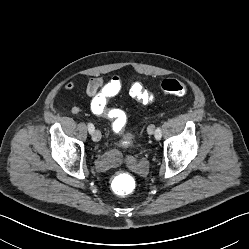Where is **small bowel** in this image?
Returning <instances> with one entry per match:
<instances>
[{
	"mask_svg": "<svg viewBox=\"0 0 249 249\" xmlns=\"http://www.w3.org/2000/svg\"><path fill=\"white\" fill-rule=\"evenodd\" d=\"M113 87L112 81L105 82L104 78L100 75L90 78L86 84L85 92L90 98V110L91 112L99 117H105L112 121V126L118 119H125V114L121 110L109 108L108 101L115 95L111 94L110 91ZM65 89L68 92H74L76 87L72 80H69L65 84ZM70 112L74 115H78L84 112L81 106L74 105L71 107ZM100 161L106 162L111 161V157L103 156ZM137 170L140 173H144L146 170V163L143 161L137 162Z\"/></svg>",
	"mask_w": 249,
	"mask_h": 249,
	"instance_id": "small-bowel-1",
	"label": "small bowel"
}]
</instances>
